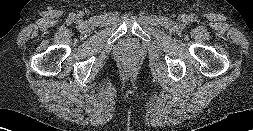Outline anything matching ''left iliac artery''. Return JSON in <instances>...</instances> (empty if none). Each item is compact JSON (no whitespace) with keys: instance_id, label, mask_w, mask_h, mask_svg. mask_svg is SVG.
Segmentation results:
<instances>
[{"instance_id":"44dca946","label":"left iliac artery","mask_w":253,"mask_h":131,"mask_svg":"<svg viewBox=\"0 0 253 131\" xmlns=\"http://www.w3.org/2000/svg\"><path fill=\"white\" fill-rule=\"evenodd\" d=\"M191 20L193 21V20H195V17L192 15V17H191Z\"/></svg>"}]
</instances>
